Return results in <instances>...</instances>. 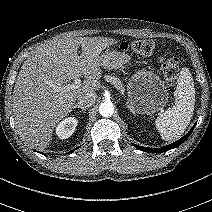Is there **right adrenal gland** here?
<instances>
[{
  "mask_svg": "<svg viewBox=\"0 0 212 212\" xmlns=\"http://www.w3.org/2000/svg\"><path fill=\"white\" fill-rule=\"evenodd\" d=\"M76 108H79V109H81L82 111H85V110H86V107L81 106V105H75V106H74V109H76Z\"/></svg>",
  "mask_w": 212,
  "mask_h": 212,
  "instance_id": "right-adrenal-gland-1",
  "label": "right adrenal gland"
}]
</instances>
